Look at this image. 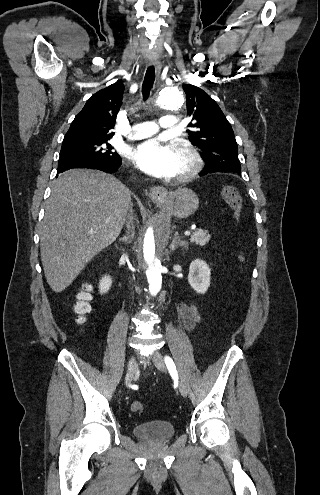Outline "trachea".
I'll return each instance as SVG.
<instances>
[{
  "instance_id": "3493384b",
  "label": "trachea",
  "mask_w": 320,
  "mask_h": 495,
  "mask_svg": "<svg viewBox=\"0 0 320 495\" xmlns=\"http://www.w3.org/2000/svg\"><path fill=\"white\" fill-rule=\"evenodd\" d=\"M154 80H155V69H154V66H150L147 68V71H146V74H145V77H144V81H143V85H142V94H143V98L144 100H146L150 94V90L152 88V85L154 83Z\"/></svg>"
}]
</instances>
